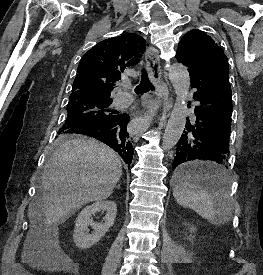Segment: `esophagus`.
<instances>
[{
	"label": "esophagus",
	"instance_id": "obj_1",
	"mask_svg": "<svg viewBox=\"0 0 263 275\" xmlns=\"http://www.w3.org/2000/svg\"><path fill=\"white\" fill-rule=\"evenodd\" d=\"M145 58L150 79L156 89L154 91V98L151 99L148 104V111L145 115L143 126L139 131L133 133V139L135 142L140 139L142 133L147 129L150 121L161 106L163 99L168 98L167 87L161 79L160 58L158 50L153 46H149L146 50ZM171 105V99L168 98V107H171Z\"/></svg>",
	"mask_w": 263,
	"mask_h": 275
}]
</instances>
